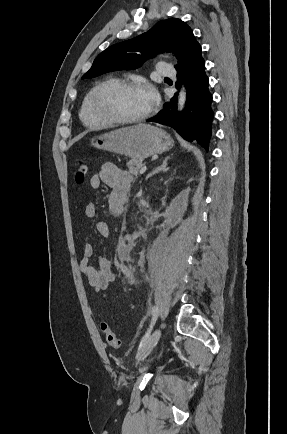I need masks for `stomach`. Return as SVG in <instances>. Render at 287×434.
I'll return each instance as SVG.
<instances>
[{"label": "stomach", "instance_id": "obj_1", "mask_svg": "<svg viewBox=\"0 0 287 434\" xmlns=\"http://www.w3.org/2000/svg\"><path fill=\"white\" fill-rule=\"evenodd\" d=\"M90 145L134 160H142L168 151L173 147V140L157 127L138 124L94 136L90 139Z\"/></svg>", "mask_w": 287, "mask_h": 434}]
</instances>
